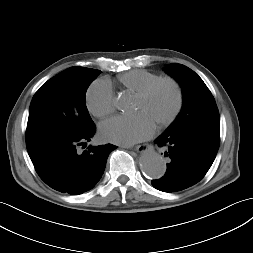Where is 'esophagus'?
Segmentation results:
<instances>
[{
	"mask_svg": "<svg viewBox=\"0 0 253 253\" xmlns=\"http://www.w3.org/2000/svg\"><path fill=\"white\" fill-rule=\"evenodd\" d=\"M149 148V144H141V145H137L134 150L142 153V152H146Z\"/></svg>",
	"mask_w": 253,
	"mask_h": 253,
	"instance_id": "obj_1",
	"label": "esophagus"
}]
</instances>
